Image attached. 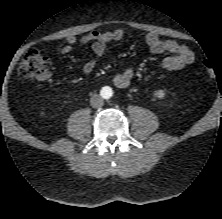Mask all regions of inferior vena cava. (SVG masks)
I'll return each instance as SVG.
<instances>
[{"label": "inferior vena cava", "instance_id": "1", "mask_svg": "<svg viewBox=\"0 0 222 219\" xmlns=\"http://www.w3.org/2000/svg\"><path fill=\"white\" fill-rule=\"evenodd\" d=\"M90 104L93 108H100L101 106H103L104 101L100 95L93 94L90 98Z\"/></svg>", "mask_w": 222, "mask_h": 219}]
</instances>
